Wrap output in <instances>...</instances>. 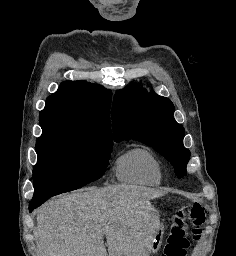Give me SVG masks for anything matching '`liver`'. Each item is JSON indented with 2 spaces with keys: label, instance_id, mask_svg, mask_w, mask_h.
<instances>
[{
  "label": "liver",
  "instance_id": "obj_1",
  "mask_svg": "<svg viewBox=\"0 0 236 256\" xmlns=\"http://www.w3.org/2000/svg\"><path fill=\"white\" fill-rule=\"evenodd\" d=\"M154 196L153 188L124 184L62 194L37 212L40 256H148L141 222Z\"/></svg>",
  "mask_w": 236,
  "mask_h": 256
}]
</instances>
